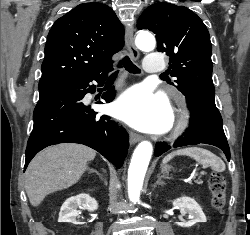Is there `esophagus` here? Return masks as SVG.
<instances>
[{
  "instance_id": "34e87169",
  "label": "esophagus",
  "mask_w": 250,
  "mask_h": 235,
  "mask_svg": "<svg viewBox=\"0 0 250 235\" xmlns=\"http://www.w3.org/2000/svg\"><path fill=\"white\" fill-rule=\"evenodd\" d=\"M125 41H126V46H127V49L130 53V56L134 60H137L139 58V51L134 44L133 26H131V25H127L125 28ZM129 137H130L131 143H133V144L142 140L141 135H139L135 132H132V131L129 132Z\"/></svg>"
}]
</instances>
